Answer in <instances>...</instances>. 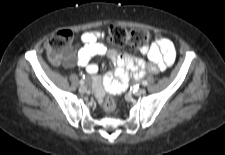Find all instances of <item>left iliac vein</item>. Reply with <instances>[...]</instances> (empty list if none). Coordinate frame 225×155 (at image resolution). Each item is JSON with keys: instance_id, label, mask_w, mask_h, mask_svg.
<instances>
[{"instance_id": "1", "label": "left iliac vein", "mask_w": 225, "mask_h": 155, "mask_svg": "<svg viewBox=\"0 0 225 155\" xmlns=\"http://www.w3.org/2000/svg\"><path fill=\"white\" fill-rule=\"evenodd\" d=\"M146 94V90L144 88H140L135 92V95L142 96Z\"/></svg>"}]
</instances>
